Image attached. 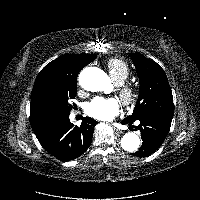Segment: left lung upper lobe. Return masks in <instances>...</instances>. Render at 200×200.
Masks as SVG:
<instances>
[{"label": "left lung upper lobe", "instance_id": "1", "mask_svg": "<svg viewBox=\"0 0 200 200\" xmlns=\"http://www.w3.org/2000/svg\"><path fill=\"white\" fill-rule=\"evenodd\" d=\"M130 56L140 79V90L133 114L127 119L135 121L149 113H155L162 119H172L173 96L164 70L137 52Z\"/></svg>", "mask_w": 200, "mask_h": 200}]
</instances>
